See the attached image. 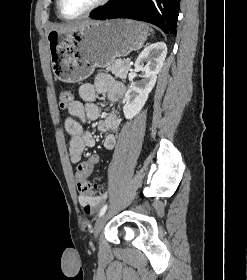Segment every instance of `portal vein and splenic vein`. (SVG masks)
Listing matches in <instances>:
<instances>
[{
	"instance_id": "obj_1",
	"label": "portal vein and splenic vein",
	"mask_w": 247,
	"mask_h": 280,
	"mask_svg": "<svg viewBox=\"0 0 247 280\" xmlns=\"http://www.w3.org/2000/svg\"><path fill=\"white\" fill-rule=\"evenodd\" d=\"M126 61H127V62H129V61H130V59H129V58H127V59H126Z\"/></svg>"
}]
</instances>
